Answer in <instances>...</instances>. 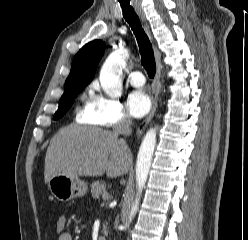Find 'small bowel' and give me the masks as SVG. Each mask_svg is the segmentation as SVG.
<instances>
[{
	"instance_id": "c3829d8e",
	"label": "small bowel",
	"mask_w": 248,
	"mask_h": 240,
	"mask_svg": "<svg viewBox=\"0 0 248 240\" xmlns=\"http://www.w3.org/2000/svg\"><path fill=\"white\" fill-rule=\"evenodd\" d=\"M58 240H73V237L71 233L65 231L59 235Z\"/></svg>"
}]
</instances>
